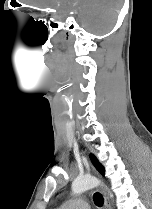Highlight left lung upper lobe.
Returning a JSON list of instances; mask_svg holds the SVG:
<instances>
[{
    "label": "left lung upper lobe",
    "mask_w": 152,
    "mask_h": 209,
    "mask_svg": "<svg viewBox=\"0 0 152 209\" xmlns=\"http://www.w3.org/2000/svg\"><path fill=\"white\" fill-rule=\"evenodd\" d=\"M91 161L93 162L94 166L96 167V169L102 174L104 175V167L98 162V160L96 159V157L94 155H90Z\"/></svg>",
    "instance_id": "left-lung-upper-lobe-1"
}]
</instances>
